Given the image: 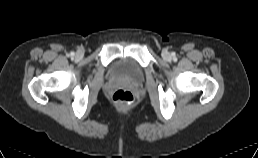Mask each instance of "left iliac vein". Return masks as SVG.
<instances>
[{
  "mask_svg": "<svg viewBox=\"0 0 258 158\" xmlns=\"http://www.w3.org/2000/svg\"><path fill=\"white\" fill-rule=\"evenodd\" d=\"M162 57H163L165 60H170V59H171V54H170L167 50H163V52H162Z\"/></svg>",
  "mask_w": 258,
  "mask_h": 158,
  "instance_id": "left-iliac-vein-1",
  "label": "left iliac vein"
}]
</instances>
